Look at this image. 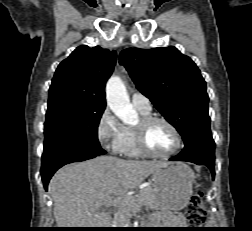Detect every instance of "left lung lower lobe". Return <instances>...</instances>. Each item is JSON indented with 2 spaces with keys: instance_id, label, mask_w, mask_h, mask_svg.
<instances>
[{
  "instance_id": "left-lung-lower-lobe-1",
  "label": "left lung lower lobe",
  "mask_w": 252,
  "mask_h": 231,
  "mask_svg": "<svg viewBox=\"0 0 252 231\" xmlns=\"http://www.w3.org/2000/svg\"><path fill=\"white\" fill-rule=\"evenodd\" d=\"M172 161H187L207 166L214 179L215 176V143L212 137L196 138L187 144L179 155L172 157Z\"/></svg>"
}]
</instances>
